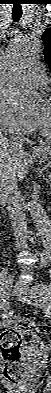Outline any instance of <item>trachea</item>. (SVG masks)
Segmentation results:
<instances>
[{"label":"trachea","instance_id":"1","mask_svg":"<svg viewBox=\"0 0 51 393\" xmlns=\"http://www.w3.org/2000/svg\"><path fill=\"white\" fill-rule=\"evenodd\" d=\"M12 18H13V21H14V22H17V21L20 20L21 14H13V15H12Z\"/></svg>","mask_w":51,"mask_h":393}]
</instances>
